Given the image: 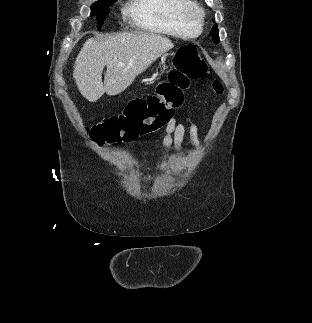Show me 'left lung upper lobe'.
Here are the masks:
<instances>
[{
  "label": "left lung upper lobe",
  "instance_id": "1",
  "mask_svg": "<svg viewBox=\"0 0 312 323\" xmlns=\"http://www.w3.org/2000/svg\"><path fill=\"white\" fill-rule=\"evenodd\" d=\"M212 38H213L216 42H218V40H219L218 27H217V25H216V24L213 26Z\"/></svg>",
  "mask_w": 312,
  "mask_h": 323
}]
</instances>
